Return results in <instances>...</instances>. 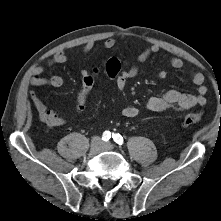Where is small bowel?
Returning <instances> with one entry per match:
<instances>
[{"label":"small bowel","instance_id":"obj_1","mask_svg":"<svg viewBox=\"0 0 221 221\" xmlns=\"http://www.w3.org/2000/svg\"><path fill=\"white\" fill-rule=\"evenodd\" d=\"M104 48L112 49L116 45L114 38H108L103 43ZM94 44L88 42L84 45L83 51L89 52L93 48ZM159 47L157 45H150L142 50L138 57V64L128 69L121 70L120 75L115 79V83L118 89L123 90L129 79L136 77L139 74V64L144 63L148 58L157 53ZM68 60V55L64 51L57 52L47 63V67H52L57 64H63ZM117 60V59H116ZM118 61V60H117ZM119 62V61H118ZM170 64L175 69H182L184 62L182 59L172 56L170 57ZM45 67H35L33 69V76L30 79V84L34 87L51 86L59 88L63 86L64 79L61 76L53 75L50 77L42 76ZM82 80L89 74L87 70H81ZM157 77L165 79L167 72L160 70L157 72ZM191 78L195 85L194 93H187L181 90H168L167 92L153 96L147 101L145 108L149 111L160 112L168 109L175 111H188L195 106H203L206 103L207 88L204 85V77L198 71L191 72ZM31 102L36 109L39 118L50 126H62L67 122L66 116H61L50 110L42 100L36 95L35 92L29 93ZM139 114V109L135 106H127L123 109V115L127 118H135Z\"/></svg>","mask_w":221,"mask_h":221}]
</instances>
